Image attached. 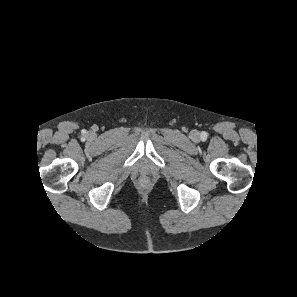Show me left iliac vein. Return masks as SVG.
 Instances as JSON below:
<instances>
[{"label": "left iliac vein", "mask_w": 297, "mask_h": 297, "mask_svg": "<svg viewBox=\"0 0 297 297\" xmlns=\"http://www.w3.org/2000/svg\"><path fill=\"white\" fill-rule=\"evenodd\" d=\"M191 137L194 139V140H197L199 139V132L198 131H192L191 132Z\"/></svg>", "instance_id": "obj_1"}]
</instances>
